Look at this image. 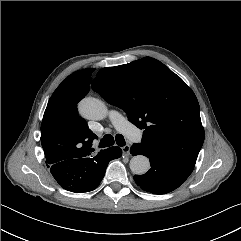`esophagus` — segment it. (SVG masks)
Listing matches in <instances>:
<instances>
[{
	"instance_id": "34e87169",
	"label": "esophagus",
	"mask_w": 241,
	"mask_h": 241,
	"mask_svg": "<svg viewBox=\"0 0 241 241\" xmlns=\"http://www.w3.org/2000/svg\"><path fill=\"white\" fill-rule=\"evenodd\" d=\"M122 153L125 156H129L130 155V146L129 145H125L122 148Z\"/></svg>"
}]
</instances>
